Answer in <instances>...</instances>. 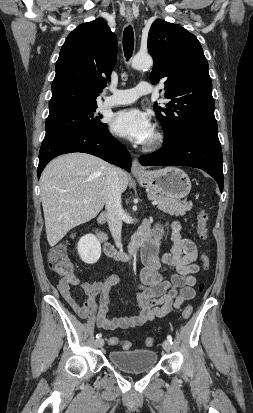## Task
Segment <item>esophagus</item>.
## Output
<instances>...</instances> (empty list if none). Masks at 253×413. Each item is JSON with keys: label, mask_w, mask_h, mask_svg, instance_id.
Listing matches in <instances>:
<instances>
[{"label": "esophagus", "mask_w": 253, "mask_h": 413, "mask_svg": "<svg viewBox=\"0 0 253 413\" xmlns=\"http://www.w3.org/2000/svg\"><path fill=\"white\" fill-rule=\"evenodd\" d=\"M126 19L128 22H131L133 20V13L132 11H127L126 12ZM144 172V168L141 166L139 161L137 159H134L132 162V173L133 174H140Z\"/></svg>", "instance_id": "obj_1"}]
</instances>
